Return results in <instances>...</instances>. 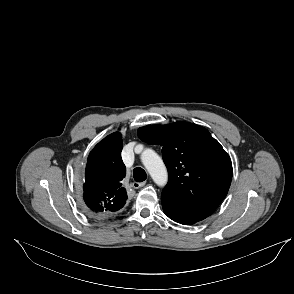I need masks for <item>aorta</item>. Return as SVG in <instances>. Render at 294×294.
<instances>
[{
    "instance_id": "aorta-1",
    "label": "aorta",
    "mask_w": 294,
    "mask_h": 294,
    "mask_svg": "<svg viewBox=\"0 0 294 294\" xmlns=\"http://www.w3.org/2000/svg\"><path fill=\"white\" fill-rule=\"evenodd\" d=\"M141 161L154 182L159 186L167 183V169L160 156L152 149H146L141 154Z\"/></svg>"
}]
</instances>
